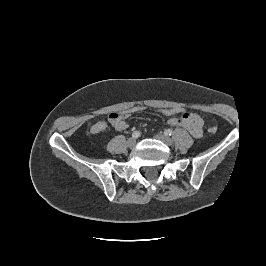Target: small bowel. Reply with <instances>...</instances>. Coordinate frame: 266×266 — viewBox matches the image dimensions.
I'll return each mask as SVG.
<instances>
[{
	"instance_id": "obj_1",
	"label": "small bowel",
	"mask_w": 266,
	"mask_h": 266,
	"mask_svg": "<svg viewBox=\"0 0 266 266\" xmlns=\"http://www.w3.org/2000/svg\"><path fill=\"white\" fill-rule=\"evenodd\" d=\"M168 124L171 126H178L185 128L193 137L199 138L202 135L203 120L196 113L186 112L182 117H171L168 119ZM115 129L119 131L126 130L128 123L125 120L113 124ZM107 127V123L103 120L97 121L91 127V133L98 134L103 132Z\"/></svg>"
}]
</instances>
